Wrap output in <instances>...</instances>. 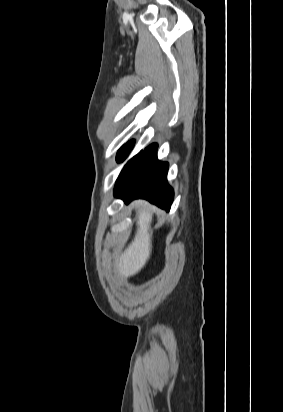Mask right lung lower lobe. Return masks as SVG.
I'll return each instance as SVG.
<instances>
[{
    "mask_svg": "<svg viewBox=\"0 0 283 412\" xmlns=\"http://www.w3.org/2000/svg\"><path fill=\"white\" fill-rule=\"evenodd\" d=\"M157 147L150 145L125 165L115 184V197L125 203L143 198L170 210L174 193L167 182L168 163L158 161Z\"/></svg>",
    "mask_w": 283,
    "mask_h": 412,
    "instance_id": "1",
    "label": "right lung lower lobe"
}]
</instances>
